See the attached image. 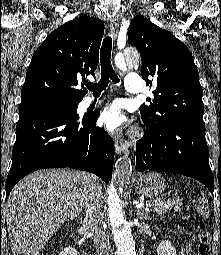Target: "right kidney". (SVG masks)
Masks as SVG:
<instances>
[{"instance_id":"right-kidney-1","label":"right kidney","mask_w":221,"mask_h":255,"mask_svg":"<svg viewBox=\"0 0 221 255\" xmlns=\"http://www.w3.org/2000/svg\"><path fill=\"white\" fill-rule=\"evenodd\" d=\"M59 255H78L77 250L72 247H66L63 249L62 252H60Z\"/></svg>"}]
</instances>
